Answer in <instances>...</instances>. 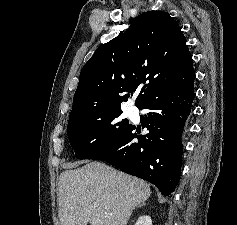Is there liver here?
Returning <instances> with one entry per match:
<instances>
[{
	"instance_id": "obj_1",
	"label": "liver",
	"mask_w": 237,
	"mask_h": 225,
	"mask_svg": "<svg viewBox=\"0 0 237 225\" xmlns=\"http://www.w3.org/2000/svg\"><path fill=\"white\" fill-rule=\"evenodd\" d=\"M58 185L61 225H127L151 195L143 180L96 161L63 171Z\"/></svg>"
}]
</instances>
